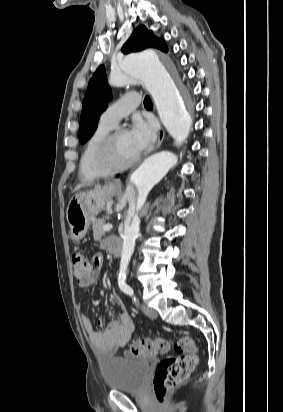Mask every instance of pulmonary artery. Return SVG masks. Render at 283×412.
<instances>
[{
	"instance_id": "pulmonary-artery-1",
	"label": "pulmonary artery",
	"mask_w": 283,
	"mask_h": 412,
	"mask_svg": "<svg viewBox=\"0 0 283 412\" xmlns=\"http://www.w3.org/2000/svg\"><path fill=\"white\" fill-rule=\"evenodd\" d=\"M141 102L138 94H125L110 104L100 116V122L111 127L117 126L119 121L128 116Z\"/></svg>"
}]
</instances>
